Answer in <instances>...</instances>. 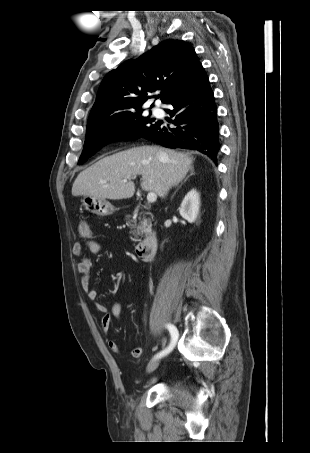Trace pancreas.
Instances as JSON below:
<instances>
[{"label": "pancreas", "mask_w": 310, "mask_h": 453, "mask_svg": "<svg viewBox=\"0 0 310 453\" xmlns=\"http://www.w3.org/2000/svg\"><path fill=\"white\" fill-rule=\"evenodd\" d=\"M131 218H132L131 215H126L125 219L127 221V225L133 229L132 232L134 236L133 241L138 242L140 241L139 236L149 233L151 228V221L143 217L142 220L139 218L140 221L139 224H137V221L136 220L132 221Z\"/></svg>", "instance_id": "cf45deb5"}]
</instances>
